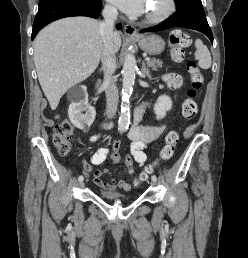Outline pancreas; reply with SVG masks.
Wrapping results in <instances>:
<instances>
[{"mask_svg":"<svg viewBox=\"0 0 248 258\" xmlns=\"http://www.w3.org/2000/svg\"><path fill=\"white\" fill-rule=\"evenodd\" d=\"M163 62L159 59L152 58L150 61L147 62L148 67L152 68L153 70H157L158 68L162 67Z\"/></svg>","mask_w":248,"mask_h":258,"instance_id":"cf45deb5","label":"pancreas"}]
</instances>
